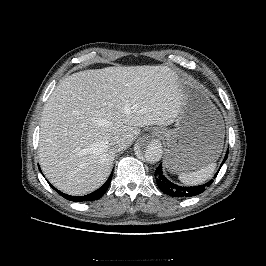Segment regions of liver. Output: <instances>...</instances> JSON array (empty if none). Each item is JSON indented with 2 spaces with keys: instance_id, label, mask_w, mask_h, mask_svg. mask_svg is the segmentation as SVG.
I'll list each match as a JSON object with an SVG mask.
<instances>
[{
  "instance_id": "liver-1",
  "label": "liver",
  "mask_w": 266,
  "mask_h": 266,
  "mask_svg": "<svg viewBox=\"0 0 266 266\" xmlns=\"http://www.w3.org/2000/svg\"><path fill=\"white\" fill-rule=\"evenodd\" d=\"M180 87L164 65L106 67L62 79L41 117L38 153L47 179L70 195L98 189L115 158L112 138L125 136L128 147L141 127L174 123Z\"/></svg>"
}]
</instances>
